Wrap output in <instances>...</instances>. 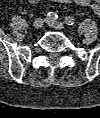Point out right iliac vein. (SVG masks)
<instances>
[{
  "mask_svg": "<svg viewBox=\"0 0 100 118\" xmlns=\"http://www.w3.org/2000/svg\"><path fill=\"white\" fill-rule=\"evenodd\" d=\"M44 25V19L42 18H37L34 22H33V27L35 29H40L42 28V26Z\"/></svg>",
  "mask_w": 100,
  "mask_h": 118,
  "instance_id": "1",
  "label": "right iliac vein"
}]
</instances>
